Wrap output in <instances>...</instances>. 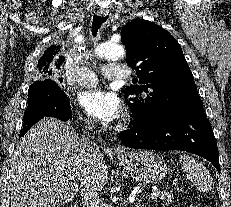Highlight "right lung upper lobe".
Returning <instances> with one entry per match:
<instances>
[{
	"instance_id": "1",
	"label": "right lung upper lobe",
	"mask_w": 231,
	"mask_h": 207,
	"mask_svg": "<svg viewBox=\"0 0 231 207\" xmlns=\"http://www.w3.org/2000/svg\"><path fill=\"white\" fill-rule=\"evenodd\" d=\"M60 45H52L49 48L46 49L42 57L38 61L37 65V73L38 74H43L44 71L52 66L54 63L55 64H60L64 61V57L61 56L59 58L56 57L60 50ZM47 72V71H46ZM45 72V74H46Z\"/></svg>"
}]
</instances>
